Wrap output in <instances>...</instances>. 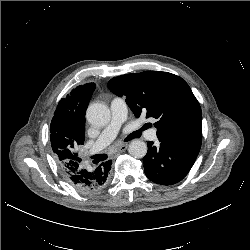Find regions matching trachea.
<instances>
[{
    "instance_id": "3493384b",
    "label": "trachea",
    "mask_w": 250,
    "mask_h": 250,
    "mask_svg": "<svg viewBox=\"0 0 250 250\" xmlns=\"http://www.w3.org/2000/svg\"><path fill=\"white\" fill-rule=\"evenodd\" d=\"M147 127L144 126L143 129H146ZM141 136V130H138L136 132H133L128 138H127V141L128 140H131L133 138H139Z\"/></svg>"
}]
</instances>
